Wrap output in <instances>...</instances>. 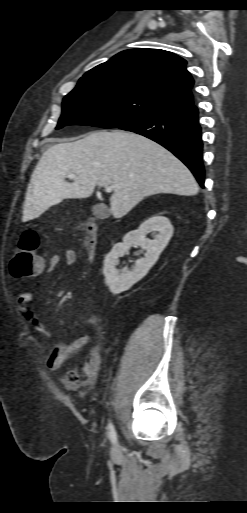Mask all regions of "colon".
Here are the masks:
<instances>
[{
	"label": "colon",
	"mask_w": 247,
	"mask_h": 513,
	"mask_svg": "<svg viewBox=\"0 0 247 513\" xmlns=\"http://www.w3.org/2000/svg\"><path fill=\"white\" fill-rule=\"evenodd\" d=\"M38 247L39 239L35 231L27 230L21 235L15 256L10 263V272L14 278L29 277L41 269Z\"/></svg>",
	"instance_id": "obj_1"
}]
</instances>
